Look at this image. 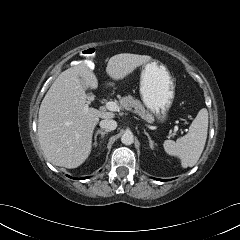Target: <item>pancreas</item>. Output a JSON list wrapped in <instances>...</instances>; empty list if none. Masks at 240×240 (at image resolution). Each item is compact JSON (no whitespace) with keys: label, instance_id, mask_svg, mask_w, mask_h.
<instances>
[{"label":"pancreas","instance_id":"cf45deb5","mask_svg":"<svg viewBox=\"0 0 240 240\" xmlns=\"http://www.w3.org/2000/svg\"><path fill=\"white\" fill-rule=\"evenodd\" d=\"M119 104L122 108L126 110L134 109V111L144 120H146L149 123H152L154 121V117L152 114L145 109L143 104L135 99L131 95H126L119 100Z\"/></svg>","mask_w":240,"mask_h":240}]
</instances>
